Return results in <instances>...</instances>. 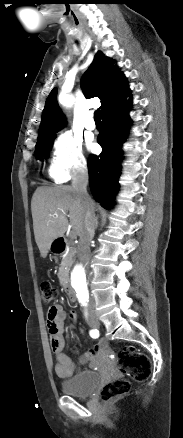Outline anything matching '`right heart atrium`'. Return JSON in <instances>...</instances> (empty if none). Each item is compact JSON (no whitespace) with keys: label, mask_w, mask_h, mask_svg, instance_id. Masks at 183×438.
I'll use <instances>...</instances> for the list:
<instances>
[{"label":"right heart atrium","mask_w":183,"mask_h":438,"mask_svg":"<svg viewBox=\"0 0 183 438\" xmlns=\"http://www.w3.org/2000/svg\"><path fill=\"white\" fill-rule=\"evenodd\" d=\"M86 168L81 140L70 131L58 134L53 142L50 176L57 181H65L84 172Z\"/></svg>","instance_id":"obj_1"}]
</instances>
